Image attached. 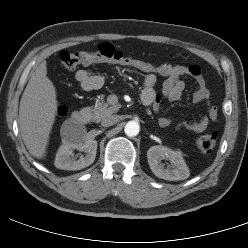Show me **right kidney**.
Instances as JSON below:
<instances>
[{"label": "right kidney", "mask_w": 248, "mask_h": 248, "mask_svg": "<svg viewBox=\"0 0 248 248\" xmlns=\"http://www.w3.org/2000/svg\"><path fill=\"white\" fill-rule=\"evenodd\" d=\"M84 151L85 156H81L78 160L73 157L74 150ZM97 141L89 139L84 142L72 141L67 137L62 138L56 158L55 167L62 170H80L91 165L96 157Z\"/></svg>", "instance_id": "right-kidney-1"}]
</instances>
